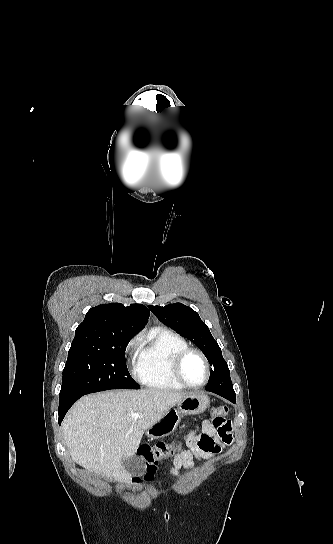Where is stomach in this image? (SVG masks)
<instances>
[{"mask_svg": "<svg viewBox=\"0 0 333 544\" xmlns=\"http://www.w3.org/2000/svg\"><path fill=\"white\" fill-rule=\"evenodd\" d=\"M209 402L208 396L189 394L177 403V409L169 410L158 422L148 428L147 437L157 439L172 434L183 416L204 412Z\"/></svg>", "mask_w": 333, "mask_h": 544, "instance_id": "obj_1", "label": "stomach"}]
</instances>
